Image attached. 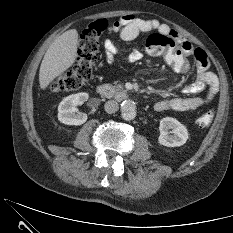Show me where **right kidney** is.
I'll list each match as a JSON object with an SVG mask.
<instances>
[{
  "label": "right kidney",
  "mask_w": 233,
  "mask_h": 233,
  "mask_svg": "<svg viewBox=\"0 0 233 233\" xmlns=\"http://www.w3.org/2000/svg\"><path fill=\"white\" fill-rule=\"evenodd\" d=\"M89 95L85 92L69 95L65 97L58 106V120L66 125L79 126L86 122L87 114L78 113L75 106L87 101Z\"/></svg>",
  "instance_id": "1"
}]
</instances>
